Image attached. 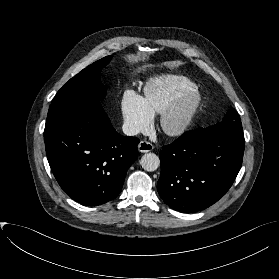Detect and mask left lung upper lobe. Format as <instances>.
Instances as JSON below:
<instances>
[{"mask_svg":"<svg viewBox=\"0 0 279 279\" xmlns=\"http://www.w3.org/2000/svg\"><path fill=\"white\" fill-rule=\"evenodd\" d=\"M205 130L212 131V132H227L236 138L244 140V134H243L240 116L232 108L227 112L222 122L210 126Z\"/></svg>","mask_w":279,"mask_h":279,"instance_id":"obj_1","label":"left lung upper lobe"}]
</instances>
